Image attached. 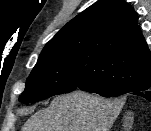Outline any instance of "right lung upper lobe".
<instances>
[{
  "mask_svg": "<svg viewBox=\"0 0 151 131\" xmlns=\"http://www.w3.org/2000/svg\"><path fill=\"white\" fill-rule=\"evenodd\" d=\"M74 44L93 57L106 87L128 90L151 83V55L138 15L124 0H99L69 21L44 47Z\"/></svg>",
  "mask_w": 151,
  "mask_h": 131,
  "instance_id": "obj_1",
  "label": "right lung upper lobe"
}]
</instances>
